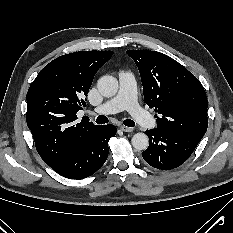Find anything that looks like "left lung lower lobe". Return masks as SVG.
Listing matches in <instances>:
<instances>
[{
	"label": "left lung lower lobe",
	"mask_w": 233,
	"mask_h": 233,
	"mask_svg": "<svg viewBox=\"0 0 233 233\" xmlns=\"http://www.w3.org/2000/svg\"><path fill=\"white\" fill-rule=\"evenodd\" d=\"M145 133L150 143L142 152V157L150 166L159 170H170L183 164L199 143L185 135L157 128Z\"/></svg>",
	"instance_id": "0a47b994"
}]
</instances>
